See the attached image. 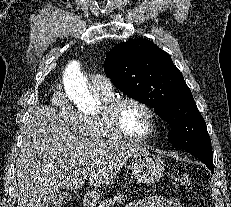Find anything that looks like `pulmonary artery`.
Masks as SVG:
<instances>
[{
    "label": "pulmonary artery",
    "mask_w": 231,
    "mask_h": 207,
    "mask_svg": "<svg viewBox=\"0 0 231 207\" xmlns=\"http://www.w3.org/2000/svg\"><path fill=\"white\" fill-rule=\"evenodd\" d=\"M90 87L93 90L111 91L112 84L110 80L103 74H94L90 78Z\"/></svg>",
    "instance_id": "pulmonary-artery-1"
}]
</instances>
